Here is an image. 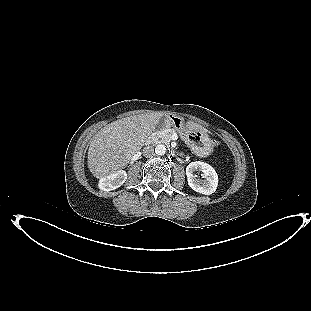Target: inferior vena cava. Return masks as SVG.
Instances as JSON below:
<instances>
[{
  "label": "inferior vena cava",
  "instance_id": "602c4592",
  "mask_svg": "<svg viewBox=\"0 0 311 311\" xmlns=\"http://www.w3.org/2000/svg\"><path fill=\"white\" fill-rule=\"evenodd\" d=\"M143 155L145 157H151L154 155V147L152 145L145 146L143 148Z\"/></svg>",
  "mask_w": 311,
  "mask_h": 311
}]
</instances>
